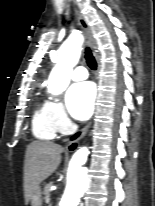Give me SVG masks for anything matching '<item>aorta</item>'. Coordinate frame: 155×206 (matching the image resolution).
I'll list each match as a JSON object with an SVG mask.
<instances>
[{
    "instance_id": "762f6f07",
    "label": "aorta",
    "mask_w": 155,
    "mask_h": 206,
    "mask_svg": "<svg viewBox=\"0 0 155 206\" xmlns=\"http://www.w3.org/2000/svg\"><path fill=\"white\" fill-rule=\"evenodd\" d=\"M82 42L80 33H72L60 47L57 64L48 79V91L51 94H61L68 87L73 67L80 58ZM88 155V148L81 147L72 156L66 187L58 206H78L81 197L88 190L89 182L85 167Z\"/></svg>"
}]
</instances>
